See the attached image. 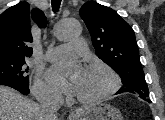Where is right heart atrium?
I'll use <instances>...</instances> for the list:
<instances>
[{"label": "right heart atrium", "mask_w": 165, "mask_h": 120, "mask_svg": "<svg viewBox=\"0 0 165 120\" xmlns=\"http://www.w3.org/2000/svg\"><path fill=\"white\" fill-rule=\"evenodd\" d=\"M33 93L37 98L46 101H59L61 98L59 92L41 78L36 79L33 85Z\"/></svg>", "instance_id": "right-heart-atrium-1"}]
</instances>
